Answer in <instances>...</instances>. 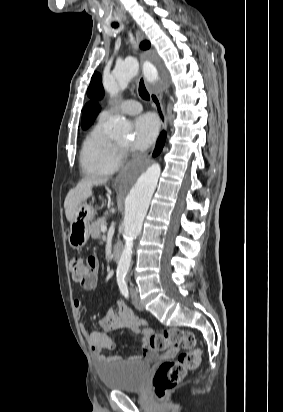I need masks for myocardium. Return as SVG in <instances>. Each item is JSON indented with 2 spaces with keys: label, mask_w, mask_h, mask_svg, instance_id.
<instances>
[{
  "label": "myocardium",
  "mask_w": 283,
  "mask_h": 412,
  "mask_svg": "<svg viewBox=\"0 0 283 412\" xmlns=\"http://www.w3.org/2000/svg\"><path fill=\"white\" fill-rule=\"evenodd\" d=\"M116 147L118 149L119 154L121 155V157H125L128 153V148L127 146L124 145H120L119 143H115Z\"/></svg>",
  "instance_id": "obj_1"
}]
</instances>
